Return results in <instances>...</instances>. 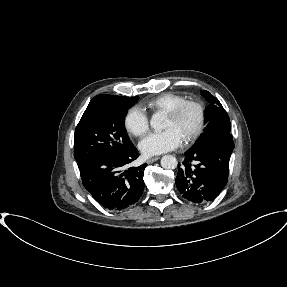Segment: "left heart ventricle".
Instances as JSON below:
<instances>
[{
    "instance_id": "1",
    "label": "left heart ventricle",
    "mask_w": 287,
    "mask_h": 287,
    "mask_svg": "<svg viewBox=\"0 0 287 287\" xmlns=\"http://www.w3.org/2000/svg\"><path fill=\"white\" fill-rule=\"evenodd\" d=\"M197 122V113L194 109H187L178 119H172L168 116L165 117L163 128H175L185 139L192 131Z\"/></svg>"
}]
</instances>
